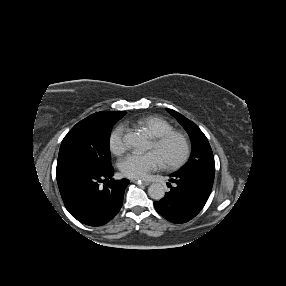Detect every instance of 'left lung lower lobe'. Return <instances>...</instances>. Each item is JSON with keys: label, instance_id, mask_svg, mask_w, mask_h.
Instances as JSON below:
<instances>
[{"label": "left lung lower lobe", "instance_id": "obj_1", "mask_svg": "<svg viewBox=\"0 0 286 286\" xmlns=\"http://www.w3.org/2000/svg\"><path fill=\"white\" fill-rule=\"evenodd\" d=\"M214 171H177L167 183L171 190L154 202L156 211L172 223H185L194 218L206 204L214 181Z\"/></svg>", "mask_w": 286, "mask_h": 286}]
</instances>
